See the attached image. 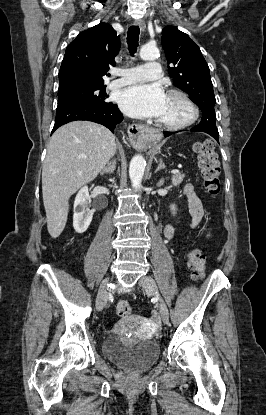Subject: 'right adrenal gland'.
Listing matches in <instances>:
<instances>
[{"mask_svg":"<svg viewBox=\"0 0 266 415\" xmlns=\"http://www.w3.org/2000/svg\"><path fill=\"white\" fill-rule=\"evenodd\" d=\"M116 169V160H112V162L108 163L101 171L100 174L103 175L104 173L111 175L114 170Z\"/></svg>","mask_w":266,"mask_h":415,"instance_id":"obj_1","label":"right adrenal gland"}]
</instances>
